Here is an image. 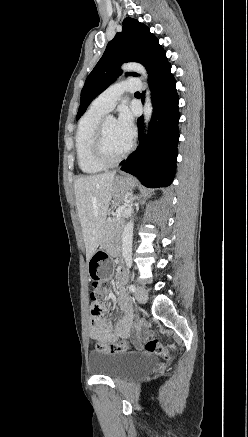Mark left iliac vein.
I'll return each mask as SVG.
<instances>
[{"label": "left iliac vein", "mask_w": 248, "mask_h": 437, "mask_svg": "<svg viewBox=\"0 0 248 437\" xmlns=\"http://www.w3.org/2000/svg\"><path fill=\"white\" fill-rule=\"evenodd\" d=\"M135 297L140 303L144 304L148 300V292L144 287L139 286L136 289Z\"/></svg>", "instance_id": "1"}]
</instances>
